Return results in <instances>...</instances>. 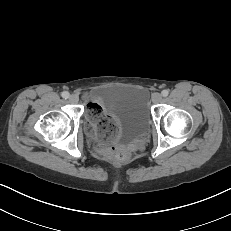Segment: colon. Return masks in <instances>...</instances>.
Here are the masks:
<instances>
[{
	"label": "colon",
	"mask_w": 231,
	"mask_h": 231,
	"mask_svg": "<svg viewBox=\"0 0 231 231\" xmlns=\"http://www.w3.org/2000/svg\"><path fill=\"white\" fill-rule=\"evenodd\" d=\"M87 113L90 119L98 123L102 134L110 135L114 131L116 127L115 120L111 117L104 116L102 108L97 103H90ZM108 152L110 156L118 162H123L127 159V152L122 147L111 146Z\"/></svg>",
	"instance_id": "1"
}]
</instances>
